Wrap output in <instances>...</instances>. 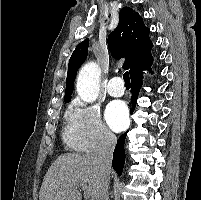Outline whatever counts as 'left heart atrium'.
Segmentation results:
<instances>
[{
	"instance_id": "left-heart-atrium-1",
	"label": "left heart atrium",
	"mask_w": 201,
	"mask_h": 200,
	"mask_svg": "<svg viewBox=\"0 0 201 200\" xmlns=\"http://www.w3.org/2000/svg\"><path fill=\"white\" fill-rule=\"evenodd\" d=\"M108 125L114 131L123 130L128 123V111L126 105L121 101L111 102L105 113Z\"/></svg>"
}]
</instances>
